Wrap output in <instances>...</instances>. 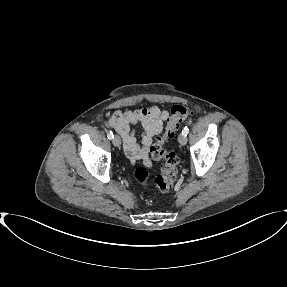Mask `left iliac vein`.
<instances>
[{"mask_svg":"<svg viewBox=\"0 0 287 287\" xmlns=\"http://www.w3.org/2000/svg\"><path fill=\"white\" fill-rule=\"evenodd\" d=\"M178 141L181 145H185L187 143V138H186L185 134H183V133L179 134Z\"/></svg>","mask_w":287,"mask_h":287,"instance_id":"1","label":"left iliac vein"}]
</instances>
